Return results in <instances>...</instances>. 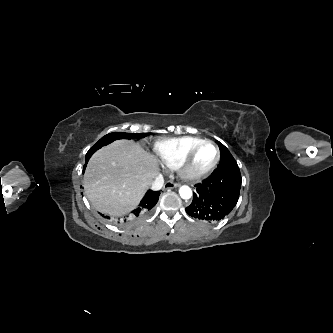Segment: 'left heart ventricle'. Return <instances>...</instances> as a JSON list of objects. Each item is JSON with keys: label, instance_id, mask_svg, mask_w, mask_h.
I'll use <instances>...</instances> for the list:
<instances>
[{"label": "left heart ventricle", "instance_id": "1", "mask_svg": "<svg viewBox=\"0 0 333 333\" xmlns=\"http://www.w3.org/2000/svg\"><path fill=\"white\" fill-rule=\"evenodd\" d=\"M215 158L216 149L212 145H205L197 152L191 167L193 170H202L213 163Z\"/></svg>", "mask_w": 333, "mask_h": 333}]
</instances>
